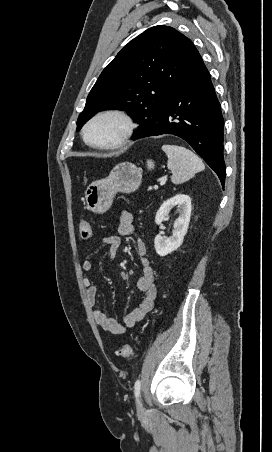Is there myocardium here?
Here are the masks:
<instances>
[{
  "mask_svg": "<svg viewBox=\"0 0 272 452\" xmlns=\"http://www.w3.org/2000/svg\"><path fill=\"white\" fill-rule=\"evenodd\" d=\"M115 119L121 124V132L117 136V138L111 142L106 143H95L91 142L87 138V132L89 128L97 121L102 119ZM135 129V124L133 119L129 114H127L125 111L119 110V109H106L99 111L95 113L93 116H91L87 122L84 124L82 128V138L84 142L89 145L90 147L97 148V149H118L122 146H124L128 140L131 138L133 132Z\"/></svg>",
  "mask_w": 272,
  "mask_h": 452,
  "instance_id": "1",
  "label": "myocardium"
}]
</instances>
